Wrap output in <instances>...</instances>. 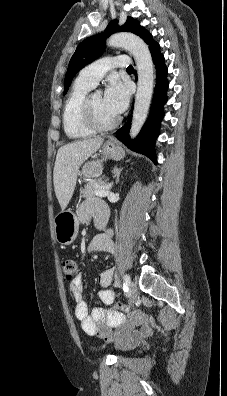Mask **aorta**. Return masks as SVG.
Wrapping results in <instances>:
<instances>
[{
	"label": "aorta",
	"mask_w": 227,
	"mask_h": 396,
	"mask_svg": "<svg viewBox=\"0 0 227 396\" xmlns=\"http://www.w3.org/2000/svg\"><path fill=\"white\" fill-rule=\"evenodd\" d=\"M110 47H123L135 58L138 71V87L135 97L130 136L134 138L140 132L148 115L153 94L154 66L148 46L132 33H117L107 42Z\"/></svg>",
	"instance_id": "1"
}]
</instances>
